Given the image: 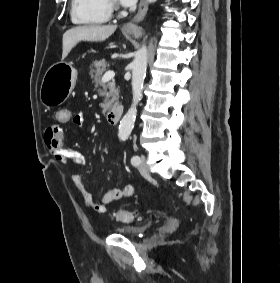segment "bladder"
I'll return each mask as SVG.
<instances>
[{
	"instance_id": "bladder-1",
	"label": "bladder",
	"mask_w": 280,
	"mask_h": 283,
	"mask_svg": "<svg viewBox=\"0 0 280 283\" xmlns=\"http://www.w3.org/2000/svg\"><path fill=\"white\" fill-rule=\"evenodd\" d=\"M154 226L153 222H148L142 225H124V226H116L113 228V232L118 235L131 237V238H139L144 235Z\"/></svg>"
}]
</instances>
